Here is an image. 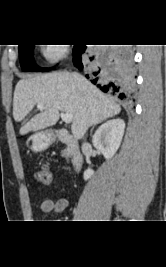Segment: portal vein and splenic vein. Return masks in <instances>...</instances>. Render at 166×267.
<instances>
[{
    "instance_id": "1",
    "label": "portal vein and splenic vein",
    "mask_w": 166,
    "mask_h": 267,
    "mask_svg": "<svg viewBox=\"0 0 166 267\" xmlns=\"http://www.w3.org/2000/svg\"><path fill=\"white\" fill-rule=\"evenodd\" d=\"M45 106V103H38L37 104V107L38 108H40V109H42L43 107ZM61 119L66 123V124H68V123H71L72 122V120H73V115L72 114H70V113H61Z\"/></svg>"
}]
</instances>
